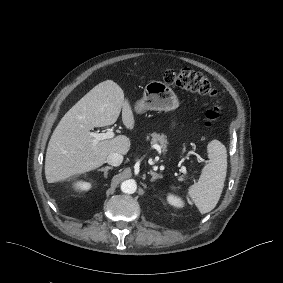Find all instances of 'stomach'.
Returning <instances> with one entry per match:
<instances>
[{
	"label": "stomach",
	"instance_id": "obj_1",
	"mask_svg": "<svg viewBox=\"0 0 283 283\" xmlns=\"http://www.w3.org/2000/svg\"><path fill=\"white\" fill-rule=\"evenodd\" d=\"M178 107L179 101L172 89L163 82L152 81L146 85L143 98L135 105V111L137 113L146 110L171 111Z\"/></svg>",
	"mask_w": 283,
	"mask_h": 283
}]
</instances>
